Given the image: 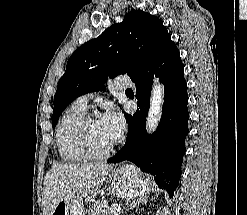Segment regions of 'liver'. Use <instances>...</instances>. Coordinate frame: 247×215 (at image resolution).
Here are the masks:
<instances>
[{
  "mask_svg": "<svg viewBox=\"0 0 247 215\" xmlns=\"http://www.w3.org/2000/svg\"><path fill=\"white\" fill-rule=\"evenodd\" d=\"M111 169L103 162L53 164L44 178L43 215H51L63 199H81L98 191Z\"/></svg>",
  "mask_w": 247,
  "mask_h": 215,
  "instance_id": "liver-1",
  "label": "liver"
}]
</instances>
